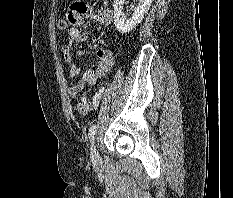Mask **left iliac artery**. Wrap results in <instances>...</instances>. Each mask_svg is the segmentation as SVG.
I'll use <instances>...</instances> for the list:
<instances>
[{
	"label": "left iliac artery",
	"instance_id": "44dca946",
	"mask_svg": "<svg viewBox=\"0 0 233 198\" xmlns=\"http://www.w3.org/2000/svg\"><path fill=\"white\" fill-rule=\"evenodd\" d=\"M104 88L100 89L99 92H103ZM96 129H97V126L96 125H92L89 129V138L90 140H93L94 139V135L96 133Z\"/></svg>",
	"mask_w": 233,
	"mask_h": 198
}]
</instances>
